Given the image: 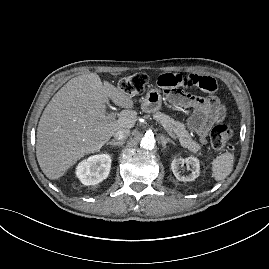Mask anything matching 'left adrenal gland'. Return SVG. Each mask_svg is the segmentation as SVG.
Wrapping results in <instances>:
<instances>
[{
  "instance_id": "a2214340",
  "label": "left adrenal gland",
  "mask_w": 269,
  "mask_h": 269,
  "mask_svg": "<svg viewBox=\"0 0 269 269\" xmlns=\"http://www.w3.org/2000/svg\"><path fill=\"white\" fill-rule=\"evenodd\" d=\"M160 140H161V144H162V147L165 149L166 148V144L168 142L172 143L175 145V142L173 140H171L170 138L168 137H164L163 135L160 136Z\"/></svg>"
}]
</instances>
